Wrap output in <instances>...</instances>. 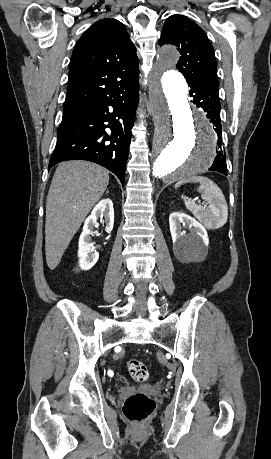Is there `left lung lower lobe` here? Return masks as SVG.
<instances>
[{"label": "left lung lower lobe", "mask_w": 271, "mask_h": 459, "mask_svg": "<svg viewBox=\"0 0 271 459\" xmlns=\"http://www.w3.org/2000/svg\"><path fill=\"white\" fill-rule=\"evenodd\" d=\"M188 85L191 87L190 95L193 97L192 102L196 104L197 107H201L205 112H207V117L215 126L217 137L216 157L209 170L218 171L227 175L226 152L222 142V128L220 120V103L218 96L219 86L215 87L209 81L188 83Z\"/></svg>", "instance_id": "obj_1"}]
</instances>
